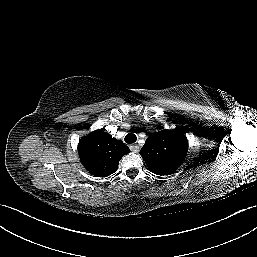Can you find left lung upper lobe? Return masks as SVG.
Wrapping results in <instances>:
<instances>
[{
	"label": "left lung upper lobe",
	"instance_id": "5c2ea615",
	"mask_svg": "<svg viewBox=\"0 0 257 257\" xmlns=\"http://www.w3.org/2000/svg\"><path fill=\"white\" fill-rule=\"evenodd\" d=\"M188 150L186 136L179 130H162L151 134L140 154L149 170L157 175L174 173L183 162Z\"/></svg>",
	"mask_w": 257,
	"mask_h": 257
}]
</instances>
